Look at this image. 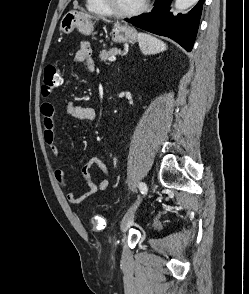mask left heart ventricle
Returning a JSON list of instances; mask_svg holds the SVG:
<instances>
[{"label": "left heart ventricle", "instance_id": "left-heart-ventricle-1", "mask_svg": "<svg viewBox=\"0 0 249 294\" xmlns=\"http://www.w3.org/2000/svg\"><path fill=\"white\" fill-rule=\"evenodd\" d=\"M113 5L122 11H129L141 5L143 0H111Z\"/></svg>", "mask_w": 249, "mask_h": 294}]
</instances>
